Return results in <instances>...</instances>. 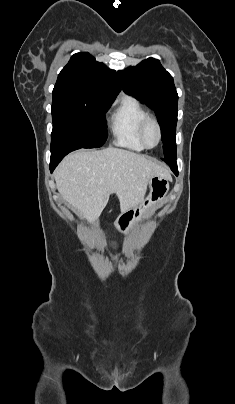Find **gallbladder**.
Returning <instances> with one entry per match:
<instances>
[{"label":"gallbladder","instance_id":"gallbladder-1","mask_svg":"<svg viewBox=\"0 0 235 404\" xmlns=\"http://www.w3.org/2000/svg\"><path fill=\"white\" fill-rule=\"evenodd\" d=\"M94 223L97 225V224L99 223L98 219H96V220L94 221Z\"/></svg>","mask_w":235,"mask_h":404}]
</instances>
